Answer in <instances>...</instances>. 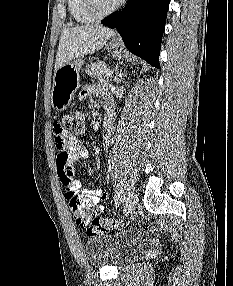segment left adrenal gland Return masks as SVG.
Here are the masks:
<instances>
[{
  "label": "left adrenal gland",
  "mask_w": 233,
  "mask_h": 286,
  "mask_svg": "<svg viewBox=\"0 0 233 286\" xmlns=\"http://www.w3.org/2000/svg\"><path fill=\"white\" fill-rule=\"evenodd\" d=\"M124 76H125V73H122L121 70H120V71H117V72H116V76H115L116 84H119V83L122 81V79H123Z\"/></svg>",
  "instance_id": "a2214340"
}]
</instances>
